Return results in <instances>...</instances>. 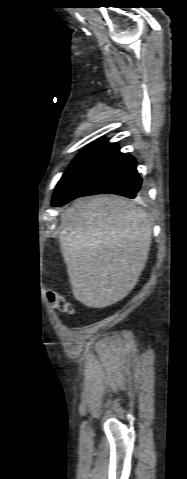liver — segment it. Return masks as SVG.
<instances>
[{
    "instance_id": "1",
    "label": "liver",
    "mask_w": 187,
    "mask_h": 479,
    "mask_svg": "<svg viewBox=\"0 0 187 479\" xmlns=\"http://www.w3.org/2000/svg\"><path fill=\"white\" fill-rule=\"evenodd\" d=\"M59 243L76 300L111 306L135 287L151 245L152 223L117 196L78 199L60 215Z\"/></svg>"
}]
</instances>
